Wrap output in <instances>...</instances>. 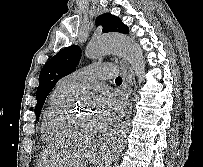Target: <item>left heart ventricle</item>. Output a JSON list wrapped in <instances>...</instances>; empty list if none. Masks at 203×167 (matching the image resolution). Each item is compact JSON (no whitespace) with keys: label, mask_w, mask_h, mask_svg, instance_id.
I'll return each mask as SVG.
<instances>
[{"label":"left heart ventricle","mask_w":203,"mask_h":167,"mask_svg":"<svg viewBox=\"0 0 203 167\" xmlns=\"http://www.w3.org/2000/svg\"><path fill=\"white\" fill-rule=\"evenodd\" d=\"M75 119L79 131L93 132L98 130L95 114L87 108L76 109Z\"/></svg>","instance_id":"obj_1"}]
</instances>
